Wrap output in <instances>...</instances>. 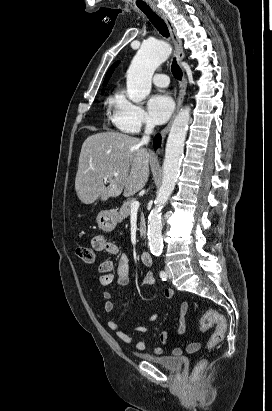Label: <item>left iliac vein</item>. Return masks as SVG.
I'll return each instance as SVG.
<instances>
[{
    "instance_id": "left-iliac-vein-1",
    "label": "left iliac vein",
    "mask_w": 272,
    "mask_h": 411,
    "mask_svg": "<svg viewBox=\"0 0 272 411\" xmlns=\"http://www.w3.org/2000/svg\"><path fill=\"white\" fill-rule=\"evenodd\" d=\"M165 272H166L167 278L170 279L172 275H171V270L168 266L165 267Z\"/></svg>"
}]
</instances>
